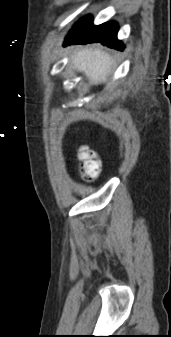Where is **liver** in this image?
<instances>
[{"instance_id":"1","label":"liver","mask_w":171,"mask_h":337,"mask_svg":"<svg viewBox=\"0 0 171 337\" xmlns=\"http://www.w3.org/2000/svg\"><path fill=\"white\" fill-rule=\"evenodd\" d=\"M74 67L83 72L91 82L104 81L113 66V60L101 49L84 48L72 56Z\"/></svg>"}]
</instances>
